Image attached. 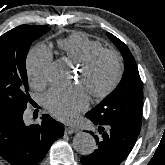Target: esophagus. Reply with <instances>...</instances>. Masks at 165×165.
<instances>
[{
	"label": "esophagus",
	"mask_w": 165,
	"mask_h": 165,
	"mask_svg": "<svg viewBox=\"0 0 165 165\" xmlns=\"http://www.w3.org/2000/svg\"><path fill=\"white\" fill-rule=\"evenodd\" d=\"M77 131H78V129L76 127H74V126L66 125V127H65V133L66 134H73V133H75Z\"/></svg>",
	"instance_id": "1"
}]
</instances>
